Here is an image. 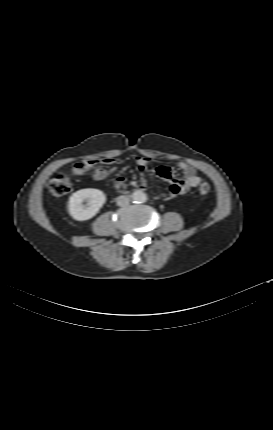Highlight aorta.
Returning a JSON list of instances; mask_svg holds the SVG:
<instances>
[{"mask_svg":"<svg viewBox=\"0 0 273 430\" xmlns=\"http://www.w3.org/2000/svg\"><path fill=\"white\" fill-rule=\"evenodd\" d=\"M131 198L136 203H142L146 201L147 196L142 190H136L132 193Z\"/></svg>","mask_w":273,"mask_h":430,"instance_id":"762f6f07","label":"aorta"}]
</instances>
